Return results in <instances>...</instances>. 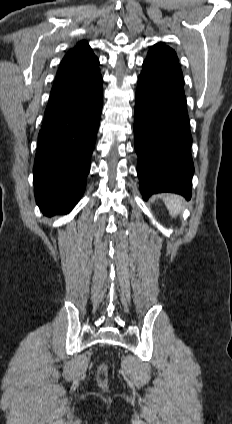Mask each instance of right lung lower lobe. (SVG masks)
<instances>
[{
  "label": "right lung lower lobe",
  "mask_w": 232,
  "mask_h": 424,
  "mask_svg": "<svg viewBox=\"0 0 232 424\" xmlns=\"http://www.w3.org/2000/svg\"><path fill=\"white\" fill-rule=\"evenodd\" d=\"M101 75L51 91L34 161V193L48 216L80 200L102 111Z\"/></svg>",
  "instance_id": "98d812e1"
}]
</instances>
